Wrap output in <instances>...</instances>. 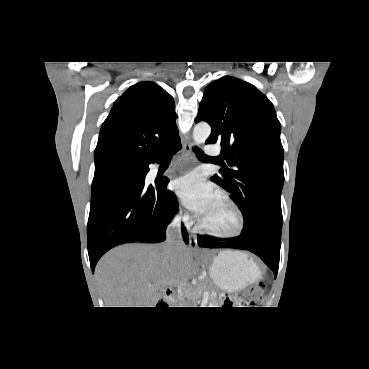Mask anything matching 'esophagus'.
Listing matches in <instances>:
<instances>
[{
  "mask_svg": "<svg viewBox=\"0 0 369 369\" xmlns=\"http://www.w3.org/2000/svg\"><path fill=\"white\" fill-rule=\"evenodd\" d=\"M194 147V142L191 139V137H187L184 142H183V151L186 154H191L192 149ZM197 238L195 235H190V240H189V246L190 248L194 249L197 247Z\"/></svg>",
  "mask_w": 369,
  "mask_h": 369,
  "instance_id": "obj_1",
  "label": "esophagus"
}]
</instances>
